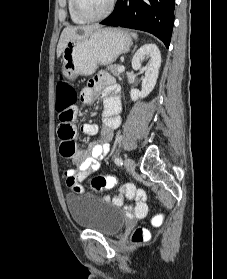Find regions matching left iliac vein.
Instances as JSON below:
<instances>
[{"label": "left iliac vein", "instance_id": "1", "mask_svg": "<svg viewBox=\"0 0 227 279\" xmlns=\"http://www.w3.org/2000/svg\"><path fill=\"white\" fill-rule=\"evenodd\" d=\"M124 165L128 171H133L135 169V161L129 157L124 160Z\"/></svg>", "mask_w": 227, "mask_h": 279}]
</instances>
